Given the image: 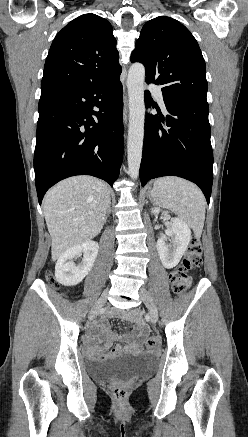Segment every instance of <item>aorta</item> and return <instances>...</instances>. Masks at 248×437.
<instances>
[{"instance_id":"1","label":"aorta","mask_w":248,"mask_h":437,"mask_svg":"<svg viewBox=\"0 0 248 437\" xmlns=\"http://www.w3.org/2000/svg\"><path fill=\"white\" fill-rule=\"evenodd\" d=\"M144 79V66L141 63L132 64L127 79L129 97L127 160L128 173L132 179L138 178L142 159L145 122Z\"/></svg>"}]
</instances>
